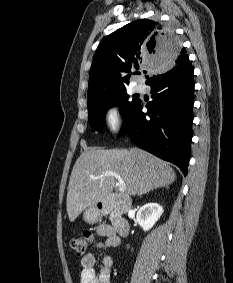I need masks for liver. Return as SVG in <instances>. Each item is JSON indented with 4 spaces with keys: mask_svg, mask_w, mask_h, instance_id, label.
Instances as JSON below:
<instances>
[{
    "mask_svg": "<svg viewBox=\"0 0 233 283\" xmlns=\"http://www.w3.org/2000/svg\"><path fill=\"white\" fill-rule=\"evenodd\" d=\"M106 171L121 177L127 196L168 187L176 178L169 163L137 147L129 150L87 148L76 160L69 180L66 207L71 222L83 210L110 196L116 178L101 177ZM91 176L98 178L91 179Z\"/></svg>",
    "mask_w": 233,
    "mask_h": 283,
    "instance_id": "obj_1",
    "label": "liver"
}]
</instances>
